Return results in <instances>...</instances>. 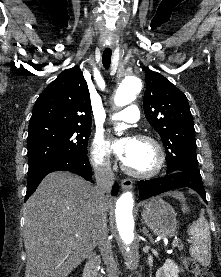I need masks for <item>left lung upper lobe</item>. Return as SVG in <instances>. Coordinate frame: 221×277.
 Returning <instances> with one entry per match:
<instances>
[{
    "label": "left lung upper lobe",
    "mask_w": 221,
    "mask_h": 277,
    "mask_svg": "<svg viewBox=\"0 0 221 277\" xmlns=\"http://www.w3.org/2000/svg\"><path fill=\"white\" fill-rule=\"evenodd\" d=\"M143 107L166 149L167 174L187 172L201 177L196 157L195 129L185 94L161 74L147 69Z\"/></svg>",
    "instance_id": "5c2ea615"
}]
</instances>
